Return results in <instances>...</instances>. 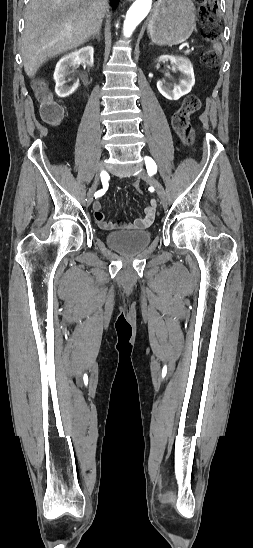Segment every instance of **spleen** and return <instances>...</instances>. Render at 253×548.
I'll list each match as a JSON object with an SVG mask.
<instances>
[{
  "instance_id": "spleen-1",
  "label": "spleen",
  "mask_w": 253,
  "mask_h": 548,
  "mask_svg": "<svg viewBox=\"0 0 253 548\" xmlns=\"http://www.w3.org/2000/svg\"><path fill=\"white\" fill-rule=\"evenodd\" d=\"M214 48L216 49V51L218 52H221L222 51V45L220 43H217L214 45Z\"/></svg>"
}]
</instances>
